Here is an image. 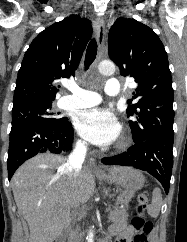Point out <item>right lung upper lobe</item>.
Listing matches in <instances>:
<instances>
[{
    "label": "right lung upper lobe",
    "instance_id": "right-lung-upper-lobe-1",
    "mask_svg": "<svg viewBox=\"0 0 187 242\" xmlns=\"http://www.w3.org/2000/svg\"><path fill=\"white\" fill-rule=\"evenodd\" d=\"M91 35V21L76 15L42 31L23 58L13 105L54 100L56 81L74 75Z\"/></svg>",
    "mask_w": 187,
    "mask_h": 242
}]
</instances>
